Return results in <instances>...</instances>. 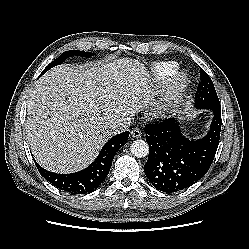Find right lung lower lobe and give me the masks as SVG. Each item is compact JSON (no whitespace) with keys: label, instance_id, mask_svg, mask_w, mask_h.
Masks as SVG:
<instances>
[{"label":"right lung lower lobe","instance_id":"98d812e1","mask_svg":"<svg viewBox=\"0 0 249 249\" xmlns=\"http://www.w3.org/2000/svg\"><path fill=\"white\" fill-rule=\"evenodd\" d=\"M129 131L112 137L101 149L95 161L72 174H57L43 169L35 162L40 174L57 188L72 194H86L96 190L107 177L116 152L127 143Z\"/></svg>","mask_w":249,"mask_h":249}]
</instances>
